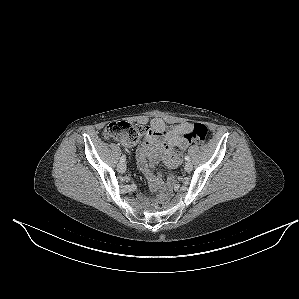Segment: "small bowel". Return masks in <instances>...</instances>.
Returning a JSON list of instances; mask_svg holds the SVG:
<instances>
[{
	"mask_svg": "<svg viewBox=\"0 0 299 299\" xmlns=\"http://www.w3.org/2000/svg\"><path fill=\"white\" fill-rule=\"evenodd\" d=\"M191 129L192 124L188 122L168 127L161 118L150 121L147 136L137 149V163L153 190L162 186L161 178L152 169L153 165L161 160L170 169L178 167L181 164L179 150L189 146L185 136ZM120 143L127 148L134 145L125 139H121Z\"/></svg>",
	"mask_w": 299,
	"mask_h": 299,
	"instance_id": "small-bowel-1",
	"label": "small bowel"
}]
</instances>
